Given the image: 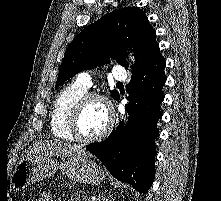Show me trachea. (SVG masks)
Masks as SVG:
<instances>
[{
    "mask_svg": "<svg viewBox=\"0 0 221 201\" xmlns=\"http://www.w3.org/2000/svg\"><path fill=\"white\" fill-rule=\"evenodd\" d=\"M117 85H122V83L121 82H117Z\"/></svg>",
    "mask_w": 221,
    "mask_h": 201,
    "instance_id": "3493384b",
    "label": "trachea"
}]
</instances>
